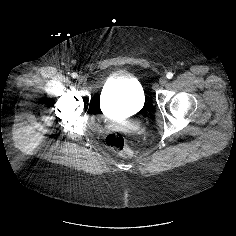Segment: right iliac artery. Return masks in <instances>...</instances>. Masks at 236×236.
Listing matches in <instances>:
<instances>
[{"instance_id":"obj_1","label":"right iliac artery","mask_w":236,"mask_h":236,"mask_svg":"<svg viewBox=\"0 0 236 236\" xmlns=\"http://www.w3.org/2000/svg\"><path fill=\"white\" fill-rule=\"evenodd\" d=\"M71 76H72L73 78H77V77H78L77 73H75V72L72 73Z\"/></svg>"}]
</instances>
